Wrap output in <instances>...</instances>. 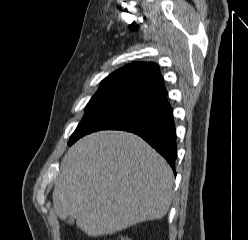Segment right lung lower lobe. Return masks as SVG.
Masks as SVG:
<instances>
[{"label": "right lung lower lobe", "instance_id": "obj_1", "mask_svg": "<svg viewBox=\"0 0 248 240\" xmlns=\"http://www.w3.org/2000/svg\"><path fill=\"white\" fill-rule=\"evenodd\" d=\"M107 129L128 131L142 137L175 171L176 132L173 110L167 101V92L121 108L103 118L86 134Z\"/></svg>", "mask_w": 248, "mask_h": 240}]
</instances>
